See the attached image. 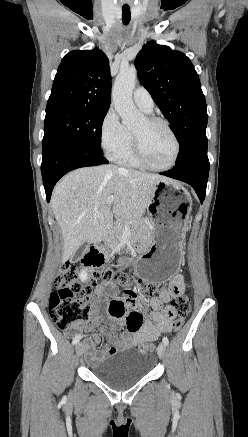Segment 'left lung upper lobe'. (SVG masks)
I'll list each match as a JSON object with an SVG mask.
<instances>
[{
	"instance_id": "obj_1",
	"label": "left lung upper lobe",
	"mask_w": 248,
	"mask_h": 437,
	"mask_svg": "<svg viewBox=\"0 0 248 437\" xmlns=\"http://www.w3.org/2000/svg\"><path fill=\"white\" fill-rule=\"evenodd\" d=\"M134 65L142 85L151 94L178 139L176 164L207 142L208 115L199 76L190 59L168 46L148 42Z\"/></svg>"
}]
</instances>
